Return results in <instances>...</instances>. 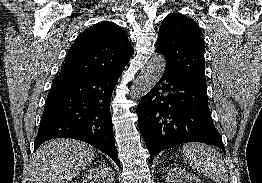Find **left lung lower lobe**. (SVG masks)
I'll return each instance as SVG.
<instances>
[{
  "instance_id": "0a47b994",
  "label": "left lung lower lobe",
  "mask_w": 262,
  "mask_h": 183,
  "mask_svg": "<svg viewBox=\"0 0 262 183\" xmlns=\"http://www.w3.org/2000/svg\"><path fill=\"white\" fill-rule=\"evenodd\" d=\"M139 128L150 161L162 150L186 142L225 148L210 117L206 86L165 69L137 107Z\"/></svg>"
}]
</instances>
